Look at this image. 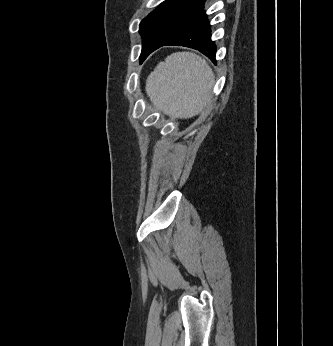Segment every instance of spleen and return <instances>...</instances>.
<instances>
[{
  "label": "spleen",
  "mask_w": 333,
  "mask_h": 346,
  "mask_svg": "<svg viewBox=\"0 0 333 346\" xmlns=\"http://www.w3.org/2000/svg\"><path fill=\"white\" fill-rule=\"evenodd\" d=\"M214 73L190 52H177L160 62L146 80V93L157 109L175 118H191L210 101Z\"/></svg>",
  "instance_id": "3e777b00"
}]
</instances>
